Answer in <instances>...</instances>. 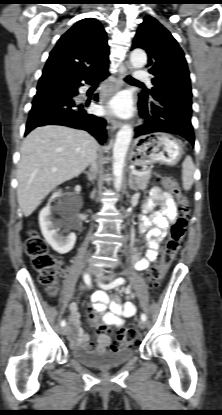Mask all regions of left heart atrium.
<instances>
[{"label":"left heart atrium","mask_w":222,"mask_h":415,"mask_svg":"<svg viewBox=\"0 0 222 415\" xmlns=\"http://www.w3.org/2000/svg\"><path fill=\"white\" fill-rule=\"evenodd\" d=\"M110 108L116 114L128 116L132 111L131 99L127 94H120L111 101Z\"/></svg>","instance_id":"obj_1"}]
</instances>
